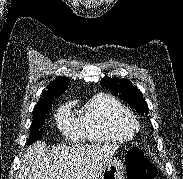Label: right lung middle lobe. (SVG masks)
Segmentation results:
<instances>
[{
    "mask_svg": "<svg viewBox=\"0 0 183 179\" xmlns=\"http://www.w3.org/2000/svg\"><path fill=\"white\" fill-rule=\"evenodd\" d=\"M52 106V102L42 105L35 106L33 110V121L30 128V135L28 144H33L37 139L41 137L40 129L45 124L46 115L49 113V109Z\"/></svg>",
    "mask_w": 183,
    "mask_h": 179,
    "instance_id": "dd1d6c3e",
    "label": "right lung middle lobe"
}]
</instances>
